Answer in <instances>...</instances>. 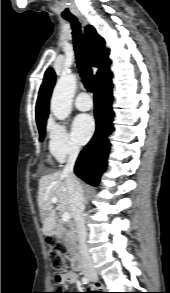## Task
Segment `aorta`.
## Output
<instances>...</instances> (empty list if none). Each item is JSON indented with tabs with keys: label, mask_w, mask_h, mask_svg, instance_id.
Returning <instances> with one entry per match:
<instances>
[{
	"label": "aorta",
	"mask_w": 170,
	"mask_h": 293,
	"mask_svg": "<svg viewBox=\"0 0 170 293\" xmlns=\"http://www.w3.org/2000/svg\"><path fill=\"white\" fill-rule=\"evenodd\" d=\"M77 86L74 74L63 75L57 81L50 102V109L58 120L66 119L72 110V99Z\"/></svg>",
	"instance_id": "762f6f07"
}]
</instances>
